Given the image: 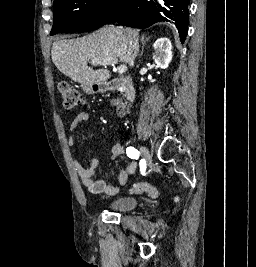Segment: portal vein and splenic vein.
<instances>
[{"label": "portal vein and splenic vein", "instance_id": "obj_1", "mask_svg": "<svg viewBox=\"0 0 256 267\" xmlns=\"http://www.w3.org/2000/svg\"><path fill=\"white\" fill-rule=\"evenodd\" d=\"M90 64H100V62H90ZM114 64H117L115 60H104L103 64H100V66H114ZM119 74H123V72H126V66H118L117 68Z\"/></svg>", "mask_w": 256, "mask_h": 267}]
</instances>
